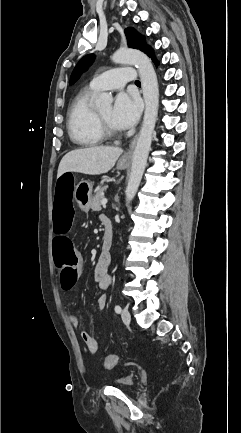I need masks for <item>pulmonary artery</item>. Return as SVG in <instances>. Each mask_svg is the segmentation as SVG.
<instances>
[{
	"label": "pulmonary artery",
	"instance_id": "pulmonary-artery-1",
	"mask_svg": "<svg viewBox=\"0 0 241 433\" xmlns=\"http://www.w3.org/2000/svg\"><path fill=\"white\" fill-rule=\"evenodd\" d=\"M136 82V71L130 66H120L94 77L87 88L94 91L119 90L127 83Z\"/></svg>",
	"mask_w": 241,
	"mask_h": 433
}]
</instances>
